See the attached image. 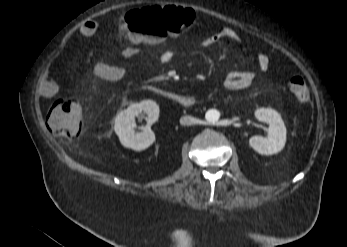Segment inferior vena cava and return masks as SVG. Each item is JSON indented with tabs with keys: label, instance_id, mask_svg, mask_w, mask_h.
I'll list each match as a JSON object with an SVG mask.
<instances>
[{
	"label": "inferior vena cava",
	"instance_id": "inferior-vena-cava-1",
	"mask_svg": "<svg viewBox=\"0 0 347 247\" xmlns=\"http://www.w3.org/2000/svg\"><path fill=\"white\" fill-rule=\"evenodd\" d=\"M196 122H197V120L191 116H183L180 119V123L182 125H191V124H195Z\"/></svg>",
	"mask_w": 347,
	"mask_h": 247
}]
</instances>
